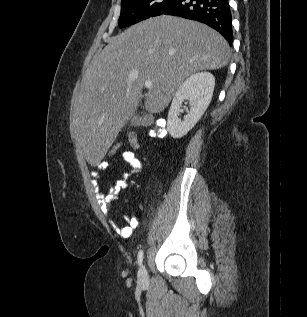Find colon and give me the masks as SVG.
<instances>
[{
    "label": "colon",
    "mask_w": 307,
    "mask_h": 317,
    "mask_svg": "<svg viewBox=\"0 0 307 317\" xmlns=\"http://www.w3.org/2000/svg\"><path fill=\"white\" fill-rule=\"evenodd\" d=\"M166 134V121L165 119H157L149 128V135L153 138H162ZM128 144L125 146L123 143H115L108 149V156L110 159L119 157L124 151H132L138 148V137L135 132L129 131L127 133Z\"/></svg>",
    "instance_id": "5ec220e1"
}]
</instances>
